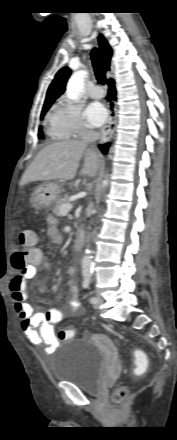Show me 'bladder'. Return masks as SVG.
I'll use <instances>...</instances> for the list:
<instances>
[{"instance_id": "bladder-1", "label": "bladder", "mask_w": 177, "mask_h": 440, "mask_svg": "<svg viewBox=\"0 0 177 440\" xmlns=\"http://www.w3.org/2000/svg\"><path fill=\"white\" fill-rule=\"evenodd\" d=\"M99 347L91 340L68 339L58 345L50 365V374L57 382H68L89 394L102 389L104 372L113 342L100 341Z\"/></svg>"}]
</instances>
